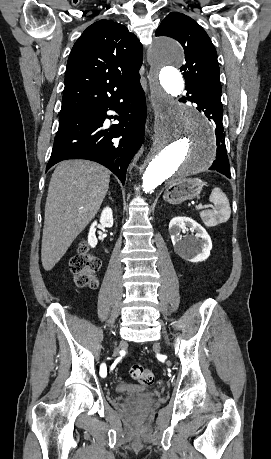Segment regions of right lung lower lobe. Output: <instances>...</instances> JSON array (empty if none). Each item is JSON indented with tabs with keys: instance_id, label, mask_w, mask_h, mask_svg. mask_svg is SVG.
Returning <instances> with one entry per match:
<instances>
[{
	"instance_id": "1",
	"label": "right lung lower lobe",
	"mask_w": 271,
	"mask_h": 459,
	"mask_svg": "<svg viewBox=\"0 0 271 459\" xmlns=\"http://www.w3.org/2000/svg\"><path fill=\"white\" fill-rule=\"evenodd\" d=\"M108 110L121 115L120 123L109 133L102 128L110 118ZM146 114L145 95L138 81L99 101L95 111L61 120L46 171L62 160L87 159L110 169L124 184L127 167L143 142Z\"/></svg>"
}]
</instances>
